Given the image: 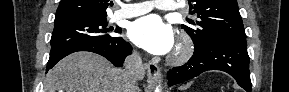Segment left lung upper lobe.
I'll list each match as a JSON object with an SVG mask.
<instances>
[{"label": "left lung upper lobe", "instance_id": "left-lung-upper-lobe-1", "mask_svg": "<svg viewBox=\"0 0 289 92\" xmlns=\"http://www.w3.org/2000/svg\"><path fill=\"white\" fill-rule=\"evenodd\" d=\"M192 14L200 21L194 26L181 27L189 34L196 49H202L220 37L245 38V31L237 0H192L189 1Z\"/></svg>", "mask_w": 289, "mask_h": 92}]
</instances>
